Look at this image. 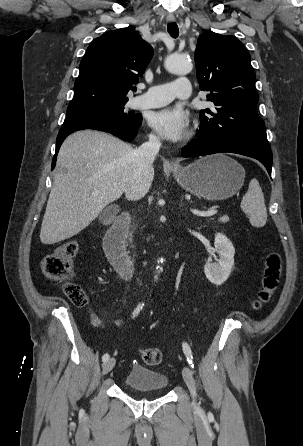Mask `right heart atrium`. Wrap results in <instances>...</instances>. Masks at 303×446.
Instances as JSON below:
<instances>
[{
	"instance_id": "obj_1",
	"label": "right heart atrium",
	"mask_w": 303,
	"mask_h": 446,
	"mask_svg": "<svg viewBox=\"0 0 303 446\" xmlns=\"http://www.w3.org/2000/svg\"><path fill=\"white\" fill-rule=\"evenodd\" d=\"M150 139H151L152 141H158V137H157L156 135H154V134H151V135H150Z\"/></svg>"
}]
</instances>
